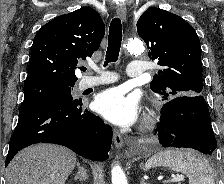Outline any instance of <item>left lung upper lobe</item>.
I'll return each mask as SVG.
<instances>
[{
  "instance_id": "obj_1",
  "label": "left lung upper lobe",
  "mask_w": 224,
  "mask_h": 184,
  "mask_svg": "<svg viewBox=\"0 0 224 184\" xmlns=\"http://www.w3.org/2000/svg\"><path fill=\"white\" fill-rule=\"evenodd\" d=\"M137 32L149 49V57L158 59L161 66L150 84L152 91L165 100L202 94L200 40L189 23L152 7L140 16Z\"/></svg>"
}]
</instances>
